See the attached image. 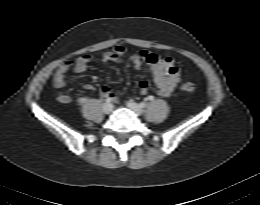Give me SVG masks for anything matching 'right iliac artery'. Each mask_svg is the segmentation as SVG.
Wrapping results in <instances>:
<instances>
[{"label": "right iliac artery", "mask_w": 260, "mask_h": 205, "mask_svg": "<svg viewBox=\"0 0 260 205\" xmlns=\"http://www.w3.org/2000/svg\"><path fill=\"white\" fill-rule=\"evenodd\" d=\"M106 102H107V103H110V102H111V99L107 98V99H106Z\"/></svg>", "instance_id": "right-iliac-artery-1"}]
</instances>
